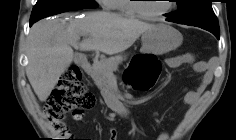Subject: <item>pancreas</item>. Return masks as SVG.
<instances>
[{
  "mask_svg": "<svg viewBox=\"0 0 236 140\" xmlns=\"http://www.w3.org/2000/svg\"><path fill=\"white\" fill-rule=\"evenodd\" d=\"M122 61V57H115L110 59L101 58L93 63L90 75L97 87L102 91H106L108 95L112 96L114 94L110 86V79Z\"/></svg>",
  "mask_w": 236,
  "mask_h": 140,
  "instance_id": "obj_1",
  "label": "pancreas"
}]
</instances>
